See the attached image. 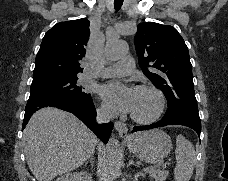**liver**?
<instances>
[{"label": "liver", "instance_id": "1", "mask_svg": "<svg viewBox=\"0 0 228 181\" xmlns=\"http://www.w3.org/2000/svg\"><path fill=\"white\" fill-rule=\"evenodd\" d=\"M99 143L75 115L45 107L32 115L24 129L27 165L37 181H53L81 167Z\"/></svg>", "mask_w": 228, "mask_h": 181}]
</instances>
